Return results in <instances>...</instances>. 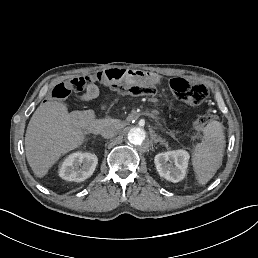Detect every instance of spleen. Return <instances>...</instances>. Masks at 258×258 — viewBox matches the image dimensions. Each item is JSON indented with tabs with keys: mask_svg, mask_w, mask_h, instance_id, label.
Segmentation results:
<instances>
[{
	"mask_svg": "<svg viewBox=\"0 0 258 258\" xmlns=\"http://www.w3.org/2000/svg\"><path fill=\"white\" fill-rule=\"evenodd\" d=\"M203 142L197 143L192 164L200 184H206L222 164L225 137L222 124L212 121L203 129Z\"/></svg>",
	"mask_w": 258,
	"mask_h": 258,
	"instance_id": "3e777b00",
	"label": "spleen"
}]
</instances>
